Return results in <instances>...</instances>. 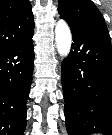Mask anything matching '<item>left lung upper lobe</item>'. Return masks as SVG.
Returning a JSON list of instances; mask_svg holds the SVG:
<instances>
[{
	"label": "left lung upper lobe",
	"mask_w": 112,
	"mask_h": 135,
	"mask_svg": "<svg viewBox=\"0 0 112 135\" xmlns=\"http://www.w3.org/2000/svg\"><path fill=\"white\" fill-rule=\"evenodd\" d=\"M58 12L73 30L109 36L104 17L91 0H59Z\"/></svg>",
	"instance_id": "5c2ea615"
}]
</instances>
